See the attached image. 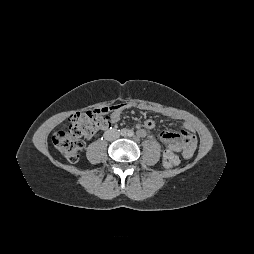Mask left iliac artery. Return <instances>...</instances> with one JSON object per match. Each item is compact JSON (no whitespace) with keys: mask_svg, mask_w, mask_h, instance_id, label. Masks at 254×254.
Instances as JSON below:
<instances>
[{"mask_svg":"<svg viewBox=\"0 0 254 254\" xmlns=\"http://www.w3.org/2000/svg\"><path fill=\"white\" fill-rule=\"evenodd\" d=\"M127 135H128L129 137H132V136H134V132H133L132 130H129L128 133H127Z\"/></svg>","mask_w":254,"mask_h":254,"instance_id":"left-iliac-artery-1","label":"left iliac artery"}]
</instances>
